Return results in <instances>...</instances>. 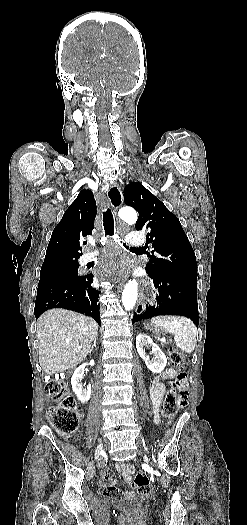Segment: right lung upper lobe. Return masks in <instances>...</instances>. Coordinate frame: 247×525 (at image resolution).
I'll list each match as a JSON object with an SVG mask.
<instances>
[{
    "label": "right lung upper lobe",
    "mask_w": 247,
    "mask_h": 525,
    "mask_svg": "<svg viewBox=\"0 0 247 525\" xmlns=\"http://www.w3.org/2000/svg\"><path fill=\"white\" fill-rule=\"evenodd\" d=\"M95 215L96 202L93 193L83 189L53 230L41 270L81 256L80 239L91 234Z\"/></svg>",
    "instance_id": "right-lung-upper-lobe-1"
}]
</instances>
